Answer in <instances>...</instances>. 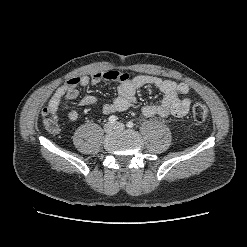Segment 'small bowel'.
<instances>
[{
  "label": "small bowel",
  "mask_w": 247,
  "mask_h": 247,
  "mask_svg": "<svg viewBox=\"0 0 247 247\" xmlns=\"http://www.w3.org/2000/svg\"><path fill=\"white\" fill-rule=\"evenodd\" d=\"M101 82H116L118 84L117 98L103 106L102 110L106 115L127 110L135 103L136 92L145 86L154 87L163 94L160 103L148 104L142 108V113L146 117H183L188 113L192 103L191 99L186 96L190 88L185 82L177 83L149 75L130 77L127 73L115 70L96 72L91 76L72 77L54 92L47 108L57 128L50 132L57 133L59 131L58 109L61 103L77 99L80 87L97 85ZM96 103L97 99L92 96L83 97L79 101L81 106H91ZM78 117L77 111L74 110L67 114V118L71 122L77 121Z\"/></svg>",
  "instance_id": "obj_1"
}]
</instances>
